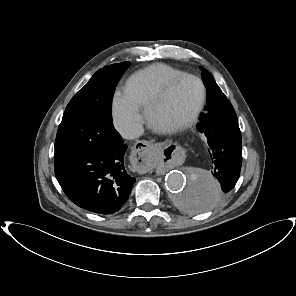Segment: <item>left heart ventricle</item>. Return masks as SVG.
Segmentation results:
<instances>
[{
    "label": "left heart ventricle",
    "mask_w": 296,
    "mask_h": 296,
    "mask_svg": "<svg viewBox=\"0 0 296 296\" xmlns=\"http://www.w3.org/2000/svg\"><path fill=\"white\" fill-rule=\"evenodd\" d=\"M200 94L199 85L192 79L180 81L157 112L163 123H171L184 118L194 108Z\"/></svg>",
    "instance_id": "obj_1"
}]
</instances>
